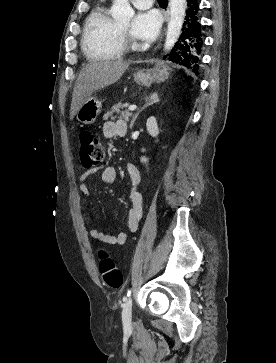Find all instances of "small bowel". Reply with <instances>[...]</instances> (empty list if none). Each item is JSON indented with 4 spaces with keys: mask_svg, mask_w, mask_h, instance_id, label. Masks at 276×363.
Listing matches in <instances>:
<instances>
[{
    "mask_svg": "<svg viewBox=\"0 0 276 363\" xmlns=\"http://www.w3.org/2000/svg\"><path fill=\"white\" fill-rule=\"evenodd\" d=\"M126 131L127 124L122 119L106 121L102 127L103 136L107 139L122 137ZM127 172L131 181L130 207L127 216L128 228L130 233H135L143 217V198L139 191L140 173L133 164L127 165ZM96 173H101V180L106 184H112L117 179V172L113 166L100 164L86 170L78 179V190L86 197H90V191L85 184V180ZM87 234L95 241L110 245H123L127 240L125 232L109 234L93 227L87 229Z\"/></svg>",
    "mask_w": 276,
    "mask_h": 363,
    "instance_id": "1",
    "label": "small bowel"
}]
</instances>
